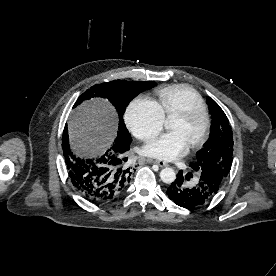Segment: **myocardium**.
Instances as JSON below:
<instances>
[{"mask_svg": "<svg viewBox=\"0 0 276 276\" xmlns=\"http://www.w3.org/2000/svg\"><path fill=\"white\" fill-rule=\"evenodd\" d=\"M174 118L181 119L186 122H191L195 119L202 118L204 121L203 130L197 140L191 144V149L196 150L205 144L209 137L211 128V120L206 108L190 107L178 113Z\"/></svg>", "mask_w": 276, "mask_h": 276, "instance_id": "f54148a6", "label": "myocardium"}]
</instances>
